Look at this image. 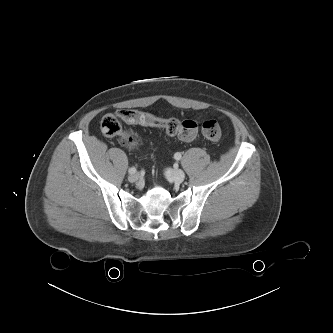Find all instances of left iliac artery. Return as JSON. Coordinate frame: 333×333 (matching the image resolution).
<instances>
[{"mask_svg":"<svg viewBox=\"0 0 333 333\" xmlns=\"http://www.w3.org/2000/svg\"><path fill=\"white\" fill-rule=\"evenodd\" d=\"M181 157H182V155H181V153H179V152L175 153V155H174V158H175L176 160H180Z\"/></svg>","mask_w":333,"mask_h":333,"instance_id":"left-iliac-artery-1","label":"left iliac artery"}]
</instances>
